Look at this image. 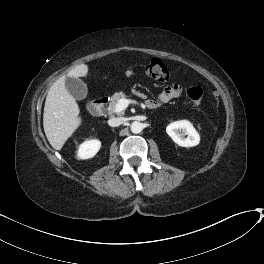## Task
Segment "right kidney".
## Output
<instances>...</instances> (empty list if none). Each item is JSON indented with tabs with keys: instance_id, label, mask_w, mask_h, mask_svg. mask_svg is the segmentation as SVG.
<instances>
[{
	"instance_id": "ca27d5eb",
	"label": "right kidney",
	"mask_w": 264,
	"mask_h": 264,
	"mask_svg": "<svg viewBox=\"0 0 264 264\" xmlns=\"http://www.w3.org/2000/svg\"><path fill=\"white\" fill-rule=\"evenodd\" d=\"M101 142L97 139L83 142L77 151V157L80 159L92 158L100 149Z\"/></svg>"
}]
</instances>
